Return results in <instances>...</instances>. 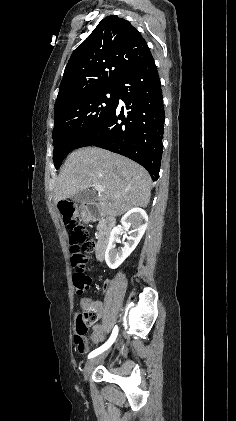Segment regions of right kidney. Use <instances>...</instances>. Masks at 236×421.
Instances as JSON below:
<instances>
[{"label":"right kidney","instance_id":"right-kidney-1","mask_svg":"<svg viewBox=\"0 0 236 421\" xmlns=\"http://www.w3.org/2000/svg\"><path fill=\"white\" fill-rule=\"evenodd\" d=\"M121 223L125 231H128V229H132V231L128 233L130 237H127V243H124V247L122 249H116V243H120L122 231L119 227L112 229L109 245L105 253V261L109 269L120 267L123 261L136 249L147 229L148 215L143 211V208L135 206V208H131V211H128L122 217Z\"/></svg>","mask_w":236,"mask_h":421}]
</instances>
